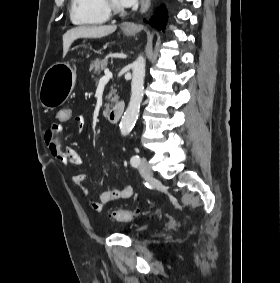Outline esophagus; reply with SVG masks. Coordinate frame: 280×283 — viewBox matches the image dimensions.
<instances>
[{"label":"esophagus","mask_w":280,"mask_h":283,"mask_svg":"<svg viewBox=\"0 0 280 283\" xmlns=\"http://www.w3.org/2000/svg\"><path fill=\"white\" fill-rule=\"evenodd\" d=\"M150 6V0H141V5H140V13L144 14ZM127 30H132V29H136V26L134 24H127L124 27Z\"/></svg>","instance_id":"1"}]
</instances>
